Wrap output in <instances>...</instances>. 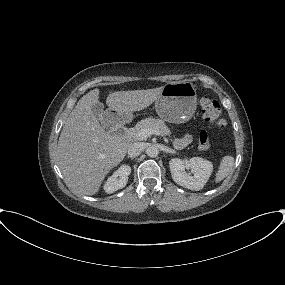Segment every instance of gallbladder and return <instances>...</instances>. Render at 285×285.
Here are the masks:
<instances>
[{"instance_id":"gallbladder-1","label":"gallbladder","mask_w":285,"mask_h":285,"mask_svg":"<svg viewBox=\"0 0 285 285\" xmlns=\"http://www.w3.org/2000/svg\"><path fill=\"white\" fill-rule=\"evenodd\" d=\"M92 112L95 116V118L101 122L102 125H105L104 118L106 115V112L104 110V105L101 102H97L92 106Z\"/></svg>"}]
</instances>
